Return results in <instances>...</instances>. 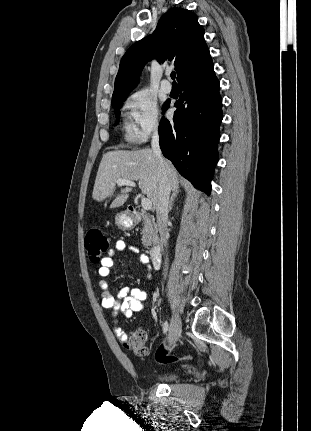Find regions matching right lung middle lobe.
I'll list each match as a JSON object with an SVG mask.
<instances>
[{
  "label": "right lung middle lobe",
  "mask_w": 311,
  "mask_h": 431,
  "mask_svg": "<svg viewBox=\"0 0 311 431\" xmlns=\"http://www.w3.org/2000/svg\"><path fill=\"white\" fill-rule=\"evenodd\" d=\"M126 97L127 96H120V97L113 98L112 99V107L120 109L122 106V102L126 99ZM167 104H168V101L165 102L163 107H165ZM115 113H116V124H117L119 122L120 111L115 110Z\"/></svg>",
  "instance_id": "right-lung-middle-lobe-1"
}]
</instances>
